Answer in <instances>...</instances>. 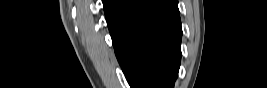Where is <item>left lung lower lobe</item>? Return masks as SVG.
Returning <instances> with one entry per match:
<instances>
[{
	"label": "left lung lower lobe",
	"instance_id": "0a47b994",
	"mask_svg": "<svg viewBox=\"0 0 267 88\" xmlns=\"http://www.w3.org/2000/svg\"><path fill=\"white\" fill-rule=\"evenodd\" d=\"M103 8L131 88H173L181 59L177 0H103Z\"/></svg>",
	"mask_w": 267,
	"mask_h": 88
}]
</instances>
